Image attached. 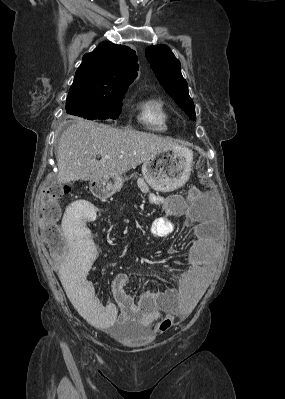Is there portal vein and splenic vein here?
<instances>
[{"label": "portal vein and splenic vein", "instance_id": "18ae733b", "mask_svg": "<svg viewBox=\"0 0 285 399\" xmlns=\"http://www.w3.org/2000/svg\"><path fill=\"white\" fill-rule=\"evenodd\" d=\"M105 158H109V156H105Z\"/></svg>", "mask_w": 285, "mask_h": 399}]
</instances>
